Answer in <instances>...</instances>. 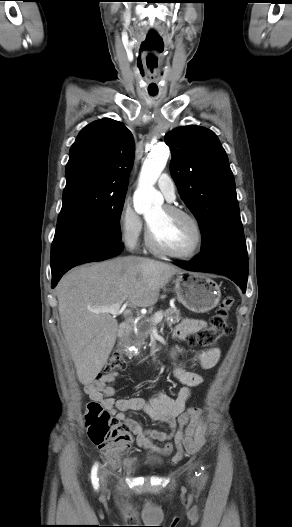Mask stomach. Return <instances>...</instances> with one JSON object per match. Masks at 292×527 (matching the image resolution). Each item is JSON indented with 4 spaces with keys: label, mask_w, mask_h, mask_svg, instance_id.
<instances>
[{
    "label": "stomach",
    "mask_w": 292,
    "mask_h": 527,
    "mask_svg": "<svg viewBox=\"0 0 292 527\" xmlns=\"http://www.w3.org/2000/svg\"><path fill=\"white\" fill-rule=\"evenodd\" d=\"M174 291L184 307L195 313H205L215 308L221 297L217 283L195 272H179L174 280Z\"/></svg>",
    "instance_id": "obj_1"
}]
</instances>
